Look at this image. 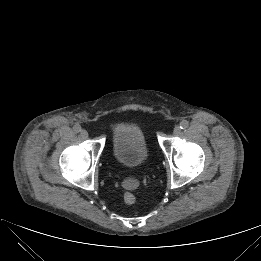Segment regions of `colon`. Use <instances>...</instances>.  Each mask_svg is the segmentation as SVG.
I'll use <instances>...</instances> for the list:
<instances>
[{
    "instance_id": "1",
    "label": "colon",
    "mask_w": 261,
    "mask_h": 261,
    "mask_svg": "<svg viewBox=\"0 0 261 261\" xmlns=\"http://www.w3.org/2000/svg\"><path fill=\"white\" fill-rule=\"evenodd\" d=\"M123 200H124L125 204H127V205H132L135 203L136 197L132 192L131 186L126 187V190L123 194Z\"/></svg>"
}]
</instances>
